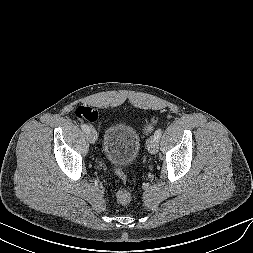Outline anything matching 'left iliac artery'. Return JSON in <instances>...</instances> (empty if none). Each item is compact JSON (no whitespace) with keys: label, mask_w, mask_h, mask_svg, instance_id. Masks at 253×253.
Wrapping results in <instances>:
<instances>
[{"label":"left iliac artery","mask_w":253,"mask_h":253,"mask_svg":"<svg viewBox=\"0 0 253 253\" xmlns=\"http://www.w3.org/2000/svg\"><path fill=\"white\" fill-rule=\"evenodd\" d=\"M162 135V130L161 129H157L154 133V136L157 138V139H160Z\"/></svg>","instance_id":"1"}]
</instances>
